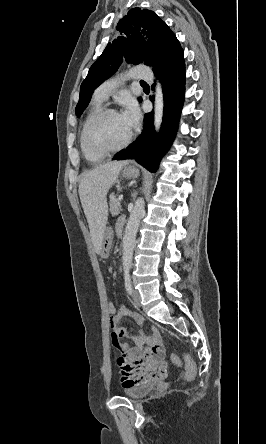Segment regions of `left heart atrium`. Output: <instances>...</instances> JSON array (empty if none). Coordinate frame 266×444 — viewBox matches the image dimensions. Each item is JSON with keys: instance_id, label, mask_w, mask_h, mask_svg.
<instances>
[{"instance_id": "left-heart-atrium-1", "label": "left heart atrium", "mask_w": 266, "mask_h": 444, "mask_svg": "<svg viewBox=\"0 0 266 444\" xmlns=\"http://www.w3.org/2000/svg\"><path fill=\"white\" fill-rule=\"evenodd\" d=\"M121 115L130 129L135 127L139 122V112L133 103H128L125 111Z\"/></svg>"}]
</instances>
